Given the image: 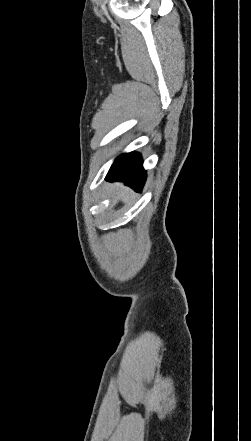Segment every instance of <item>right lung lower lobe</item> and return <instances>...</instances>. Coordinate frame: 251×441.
Masks as SVG:
<instances>
[{
	"instance_id": "98d812e1",
	"label": "right lung lower lobe",
	"mask_w": 251,
	"mask_h": 441,
	"mask_svg": "<svg viewBox=\"0 0 251 441\" xmlns=\"http://www.w3.org/2000/svg\"><path fill=\"white\" fill-rule=\"evenodd\" d=\"M142 163V158L138 153L122 154L115 160L106 179L108 181H122L140 192L146 178Z\"/></svg>"
}]
</instances>
